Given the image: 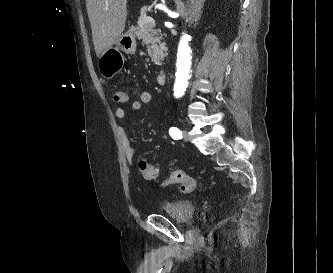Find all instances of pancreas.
I'll use <instances>...</instances> for the list:
<instances>
[{
  "label": "pancreas",
  "mask_w": 333,
  "mask_h": 273,
  "mask_svg": "<svg viewBox=\"0 0 333 273\" xmlns=\"http://www.w3.org/2000/svg\"><path fill=\"white\" fill-rule=\"evenodd\" d=\"M145 8L141 10L140 17L135 29L136 36L146 45L148 55L151 57L155 65H161L167 55V48L164 42H161L162 34L160 30H154L149 23L146 22Z\"/></svg>",
  "instance_id": "cf45deb5"
}]
</instances>
